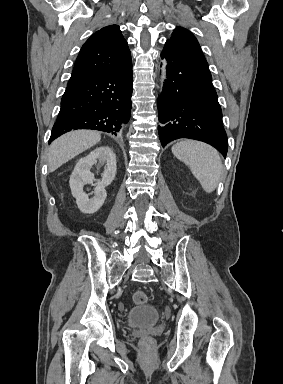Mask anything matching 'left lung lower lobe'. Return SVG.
Listing matches in <instances>:
<instances>
[{
    "label": "left lung lower lobe",
    "mask_w": 283,
    "mask_h": 384,
    "mask_svg": "<svg viewBox=\"0 0 283 384\" xmlns=\"http://www.w3.org/2000/svg\"><path fill=\"white\" fill-rule=\"evenodd\" d=\"M167 79L158 97V133L162 146L178 138L206 142L227 154L222 110L205 58L166 43Z\"/></svg>",
    "instance_id": "1"
}]
</instances>
